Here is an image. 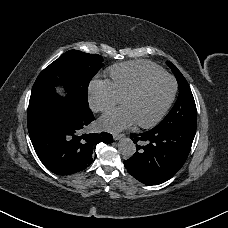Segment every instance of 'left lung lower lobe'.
<instances>
[{"label": "left lung lower lobe", "mask_w": 228, "mask_h": 228, "mask_svg": "<svg viewBox=\"0 0 228 228\" xmlns=\"http://www.w3.org/2000/svg\"><path fill=\"white\" fill-rule=\"evenodd\" d=\"M196 130L161 128L130 134L135 154L124 160L127 171L146 185H158L173 177L185 163Z\"/></svg>", "instance_id": "obj_1"}]
</instances>
